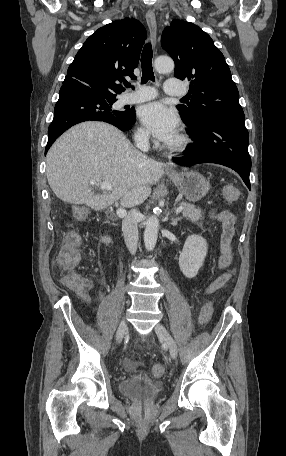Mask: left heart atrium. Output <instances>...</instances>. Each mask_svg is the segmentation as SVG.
Listing matches in <instances>:
<instances>
[{"label":"left heart atrium","mask_w":286,"mask_h":456,"mask_svg":"<svg viewBox=\"0 0 286 456\" xmlns=\"http://www.w3.org/2000/svg\"><path fill=\"white\" fill-rule=\"evenodd\" d=\"M140 120L153 136L171 143L177 136L179 121L176 113L161 102L148 103L140 109Z\"/></svg>","instance_id":"39dd6f15"}]
</instances>
